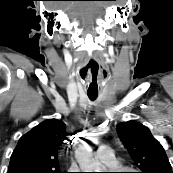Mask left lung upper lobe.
Listing matches in <instances>:
<instances>
[{
	"label": "left lung upper lobe",
	"mask_w": 173,
	"mask_h": 173,
	"mask_svg": "<svg viewBox=\"0 0 173 173\" xmlns=\"http://www.w3.org/2000/svg\"><path fill=\"white\" fill-rule=\"evenodd\" d=\"M116 129L141 173H173L164 148L146 126L131 120Z\"/></svg>",
	"instance_id": "5c2ea615"
}]
</instances>
